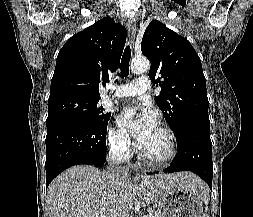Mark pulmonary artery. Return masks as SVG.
Returning a JSON list of instances; mask_svg holds the SVG:
<instances>
[{"label": "pulmonary artery", "mask_w": 253, "mask_h": 217, "mask_svg": "<svg viewBox=\"0 0 253 217\" xmlns=\"http://www.w3.org/2000/svg\"><path fill=\"white\" fill-rule=\"evenodd\" d=\"M150 87V79L146 76H141L135 82L113 87L114 93L112 95L119 98L138 96L148 91Z\"/></svg>", "instance_id": "1"}]
</instances>
